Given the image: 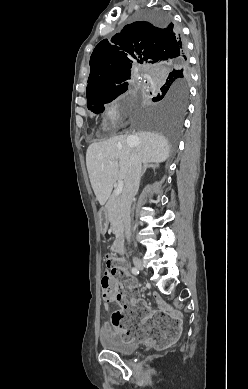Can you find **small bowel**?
<instances>
[{"instance_id": "small-bowel-1", "label": "small bowel", "mask_w": 248, "mask_h": 389, "mask_svg": "<svg viewBox=\"0 0 248 389\" xmlns=\"http://www.w3.org/2000/svg\"><path fill=\"white\" fill-rule=\"evenodd\" d=\"M104 299H105V302H104V309H105L106 311H108V310L110 309V305H111L112 303H118V301L115 300V299H106V298H104ZM159 307H160V309L163 310V311H167V310L169 309L168 304H166V303H164V302H160V303H159ZM172 313H173V314H179L177 311H173ZM103 331H110V324H109V322H105V323L103 324ZM120 332H121V331H120ZM121 334H122V332H121Z\"/></svg>"}]
</instances>
